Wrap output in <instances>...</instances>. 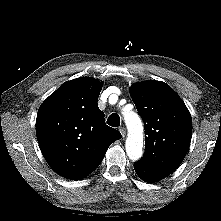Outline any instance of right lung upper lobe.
<instances>
[{
	"mask_svg": "<svg viewBox=\"0 0 221 221\" xmlns=\"http://www.w3.org/2000/svg\"><path fill=\"white\" fill-rule=\"evenodd\" d=\"M102 82L81 77L62 84L40 106L36 135L49 166L60 176L80 180L102 162L121 133L105 124L97 100Z\"/></svg>",
	"mask_w": 221,
	"mask_h": 221,
	"instance_id": "obj_1",
	"label": "right lung upper lobe"
}]
</instances>
